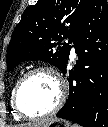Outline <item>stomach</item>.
<instances>
[{
	"label": "stomach",
	"mask_w": 108,
	"mask_h": 127,
	"mask_svg": "<svg viewBox=\"0 0 108 127\" xmlns=\"http://www.w3.org/2000/svg\"><path fill=\"white\" fill-rule=\"evenodd\" d=\"M43 127H73L70 122L63 119H54L49 124Z\"/></svg>",
	"instance_id": "0dacf381"
}]
</instances>
